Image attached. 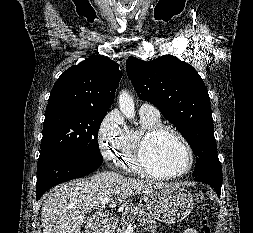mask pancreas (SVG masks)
I'll return each instance as SVG.
<instances>
[{
    "mask_svg": "<svg viewBox=\"0 0 253 233\" xmlns=\"http://www.w3.org/2000/svg\"><path fill=\"white\" fill-rule=\"evenodd\" d=\"M141 224L145 230L151 231L155 233L157 231L156 222L152 219V216L146 213L144 207L141 204H129L126 208L124 213L120 218V222L116 229V233H124L126 227L135 221Z\"/></svg>",
    "mask_w": 253,
    "mask_h": 233,
    "instance_id": "obj_1",
    "label": "pancreas"
}]
</instances>
